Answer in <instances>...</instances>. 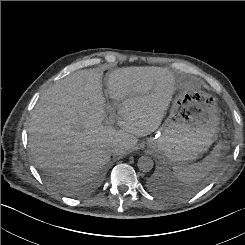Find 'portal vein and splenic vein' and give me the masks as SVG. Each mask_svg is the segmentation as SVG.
I'll return each instance as SVG.
<instances>
[{
    "label": "portal vein and splenic vein",
    "mask_w": 245,
    "mask_h": 245,
    "mask_svg": "<svg viewBox=\"0 0 245 245\" xmlns=\"http://www.w3.org/2000/svg\"><path fill=\"white\" fill-rule=\"evenodd\" d=\"M109 116L106 118L105 123L108 126H112L115 123V119H116V113L113 107L109 106Z\"/></svg>",
    "instance_id": "1"
}]
</instances>
